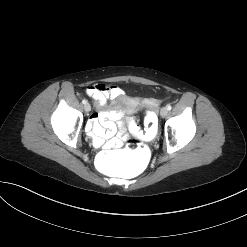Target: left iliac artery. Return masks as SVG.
<instances>
[{"mask_svg":"<svg viewBox=\"0 0 247 247\" xmlns=\"http://www.w3.org/2000/svg\"><path fill=\"white\" fill-rule=\"evenodd\" d=\"M167 109L170 111L172 109L171 105H167Z\"/></svg>","mask_w":247,"mask_h":247,"instance_id":"obj_1","label":"left iliac artery"}]
</instances>
